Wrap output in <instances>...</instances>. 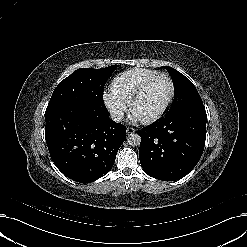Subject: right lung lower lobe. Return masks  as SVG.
I'll list each match as a JSON object with an SVG mask.
<instances>
[{
    "instance_id": "obj_1",
    "label": "right lung lower lobe",
    "mask_w": 247,
    "mask_h": 247,
    "mask_svg": "<svg viewBox=\"0 0 247 247\" xmlns=\"http://www.w3.org/2000/svg\"><path fill=\"white\" fill-rule=\"evenodd\" d=\"M45 138L52 161L68 178L90 183L112 168L126 127L104 103H63L46 109Z\"/></svg>"
}]
</instances>
